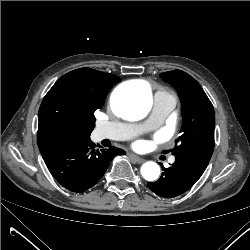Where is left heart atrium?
<instances>
[{
    "instance_id": "left-heart-atrium-1",
    "label": "left heart atrium",
    "mask_w": 250,
    "mask_h": 250,
    "mask_svg": "<svg viewBox=\"0 0 250 250\" xmlns=\"http://www.w3.org/2000/svg\"><path fill=\"white\" fill-rule=\"evenodd\" d=\"M136 146H137V147H142V146H143V143H142V142H138V143L136 144Z\"/></svg>"
}]
</instances>
